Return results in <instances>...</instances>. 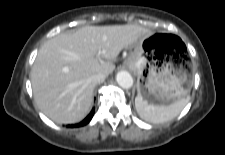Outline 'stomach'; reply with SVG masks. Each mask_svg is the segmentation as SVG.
Returning a JSON list of instances; mask_svg holds the SVG:
<instances>
[{"label":"stomach","mask_w":225,"mask_h":155,"mask_svg":"<svg viewBox=\"0 0 225 155\" xmlns=\"http://www.w3.org/2000/svg\"><path fill=\"white\" fill-rule=\"evenodd\" d=\"M166 35L151 33L133 45L126 65L137 75V92L148 103L164 105L186 98L191 76L182 62L167 59L161 49Z\"/></svg>","instance_id":"1"}]
</instances>
